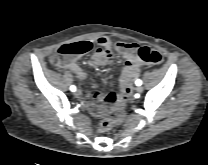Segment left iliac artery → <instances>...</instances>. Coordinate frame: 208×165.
Here are the masks:
<instances>
[{
    "label": "left iliac artery",
    "mask_w": 208,
    "mask_h": 165,
    "mask_svg": "<svg viewBox=\"0 0 208 165\" xmlns=\"http://www.w3.org/2000/svg\"><path fill=\"white\" fill-rule=\"evenodd\" d=\"M135 83H136L137 86H140L142 84V81L140 79H138V80H136Z\"/></svg>",
    "instance_id": "obj_1"
}]
</instances>
